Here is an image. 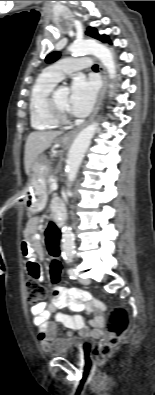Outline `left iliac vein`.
Returning a JSON list of instances; mask_svg holds the SVG:
<instances>
[{"label":"left iliac vein","instance_id":"left-iliac-vein-1","mask_svg":"<svg viewBox=\"0 0 155 395\" xmlns=\"http://www.w3.org/2000/svg\"><path fill=\"white\" fill-rule=\"evenodd\" d=\"M79 282L83 285H89L90 284V280L87 278H79Z\"/></svg>","mask_w":155,"mask_h":395}]
</instances>
